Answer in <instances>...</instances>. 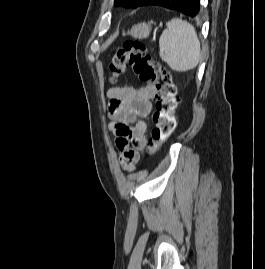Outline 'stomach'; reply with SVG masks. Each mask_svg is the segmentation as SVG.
Instances as JSON below:
<instances>
[{
  "label": "stomach",
  "instance_id": "0dacf381",
  "mask_svg": "<svg viewBox=\"0 0 265 269\" xmlns=\"http://www.w3.org/2000/svg\"><path fill=\"white\" fill-rule=\"evenodd\" d=\"M151 29L152 27L150 23L141 22L132 26L128 34L134 38L143 39L149 36Z\"/></svg>",
  "mask_w": 265,
  "mask_h": 269
}]
</instances>
